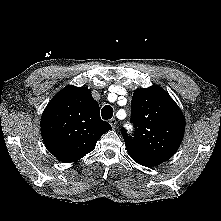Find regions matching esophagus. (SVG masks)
I'll return each mask as SVG.
<instances>
[{"instance_id":"esophagus-1","label":"esophagus","mask_w":221,"mask_h":221,"mask_svg":"<svg viewBox=\"0 0 221 221\" xmlns=\"http://www.w3.org/2000/svg\"><path fill=\"white\" fill-rule=\"evenodd\" d=\"M109 123H110V125L112 126V128H115V126H116V124H117V121H116V119H111L110 121H109Z\"/></svg>"}]
</instances>
